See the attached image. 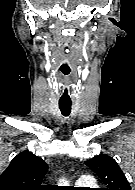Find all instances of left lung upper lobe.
Wrapping results in <instances>:
<instances>
[{
  "mask_svg": "<svg viewBox=\"0 0 135 190\" xmlns=\"http://www.w3.org/2000/svg\"><path fill=\"white\" fill-rule=\"evenodd\" d=\"M85 163L107 186L103 190H131L124 173L112 157L100 155L87 160Z\"/></svg>",
  "mask_w": 135,
  "mask_h": 190,
  "instance_id": "1",
  "label": "left lung upper lobe"
}]
</instances>
